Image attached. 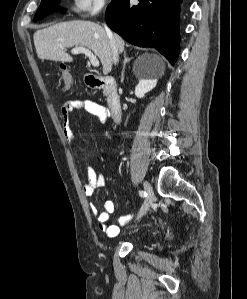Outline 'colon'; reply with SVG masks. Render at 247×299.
<instances>
[{
    "mask_svg": "<svg viewBox=\"0 0 247 299\" xmlns=\"http://www.w3.org/2000/svg\"><path fill=\"white\" fill-rule=\"evenodd\" d=\"M59 76L64 83L66 89H69L72 85V78L70 73L66 69H61L59 72Z\"/></svg>",
    "mask_w": 247,
    "mask_h": 299,
    "instance_id": "1",
    "label": "colon"
}]
</instances>
